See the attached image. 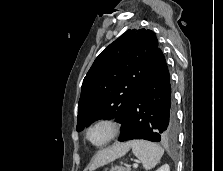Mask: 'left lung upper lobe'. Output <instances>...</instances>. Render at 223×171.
I'll use <instances>...</instances> for the list:
<instances>
[{
  "instance_id": "obj_1",
  "label": "left lung upper lobe",
  "mask_w": 223,
  "mask_h": 171,
  "mask_svg": "<svg viewBox=\"0 0 223 171\" xmlns=\"http://www.w3.org/2000/svg\"><path fill=\"white\" fill-rule=\"evenodd\" d=\"M159 46L151 30H127L96 58L81 88L77 131L98 119L122 123Z\"/></svg>"
}]
</instances>
